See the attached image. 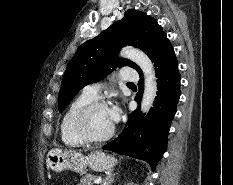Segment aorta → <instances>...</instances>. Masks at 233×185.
Here are the masks:
<instances>
[{
  "instance_id": "aorta-1",
  "label": "aorta",
  "mask_w": 233,
  "mask_h": 185,
  "mask_svg": "<svg viewBox=\"0 0 233 185\" xmlns=\"http://www.w3.org/2000/svg\"><path fill=\"white\" fill-rule=\"evenodd\" d=\"M120 55L136 63L144 73L145 86L141 101V111L143 113L148 112L157 95V82L153 64L143 51L136 48H124Z\"/></svg>"
}]
</instances>
